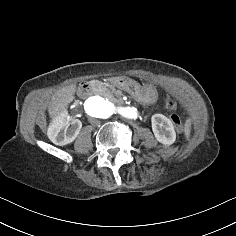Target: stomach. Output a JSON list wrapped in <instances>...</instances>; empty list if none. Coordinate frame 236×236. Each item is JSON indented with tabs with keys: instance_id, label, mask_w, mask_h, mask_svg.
Segmentation results:
<instances>
[{
	"instance_id": "stomach-1",
	"label": "stomach",
	"mask_w": 236,
	"mask_h": 236,
	"mask_svg": "<svg viewBox=\"0 0 236 236\" xmlns=\"http://www.w3.org/2000/svg\"><path fill=\"white\" fill-rule=\"evenodd\" d=\"M116 86L123 93L129 94L133 99H138L141 104L154 105L157 102L158 88L152 82H145L141 86L125 77L116 81Z\"/></svg>"
}]
</instances>
